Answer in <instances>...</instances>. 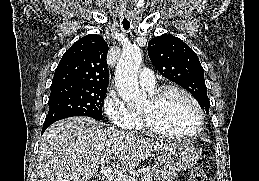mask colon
I'll return each instance as SVG.
<instances>
[{
	"mask_svg": "<svg viewBox=\"0 0 259 181\" xmlns=\"http://www.w3.org/2000/svg\"><path fill=\"white\" fill-rule=\"evenodd\" d=\"M189 181H207L205 169L202 166H196L190 174Z\"/></svg>",
	"mask_w": 259,
	"mask_h": 181,
	"instance_id": "5ec220e1",
	"label": "colon"
}]
</instances>
